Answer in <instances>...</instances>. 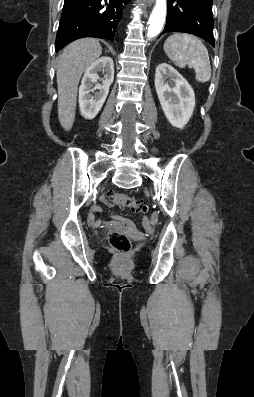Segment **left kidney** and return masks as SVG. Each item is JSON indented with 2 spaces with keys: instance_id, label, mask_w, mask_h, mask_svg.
<instances>
[{
  "instance_id": "obj_1",
  "label": "left kidney",
  "mask_w": 254,
  "mask_h": 397,
  "mask_svg": "<svg viewBox=\"0 0 254 397\" xmlns=\"http://www.w3.org/2000/svg\"><path fill=\"white\" fill-rule=\"evenodd\" d=\"M170 78L168 83L166 80ZM155 88L163 112L176 128H184L193 115L195 94L184 77L171 65L161 63L156 67Z\"/></svg>"
}]
</instances>
